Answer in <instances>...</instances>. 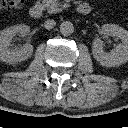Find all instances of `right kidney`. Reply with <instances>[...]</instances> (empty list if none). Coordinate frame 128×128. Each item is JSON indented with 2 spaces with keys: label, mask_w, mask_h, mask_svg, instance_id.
Listing matches in <instances>:
<instances>
[{
  "label": "right kidney",
  "mask_w": 128,
  "mask_h": 128,
  "mask_svg": "<svg viewBox=\"0 0 128 128\" xmlns=\"http://www.w3.org/2000/svg\"><path fill=\"white\" fill-rule=\"evenodd\" d=\"M30 32V27L27 25H14L0 32V60L7 63L21 62L33 53V46L26 43L21 47L13 46L12 38L16 35L27 36Z\"/></svg>",
  "instance_id": "right-kidney-1"
}]
</instances>
